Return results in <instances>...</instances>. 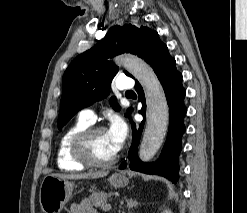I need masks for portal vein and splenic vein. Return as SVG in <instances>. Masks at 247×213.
Segmentation results:
<instances>
[{
	"instance_id": "obj_1",
	"label": "portal vein and splenic vein",
	"mask_w": 247,
	"mask_h": 213,
	"mask_svg": "<svg viewBox=\"0 0 247 213\" xmlns=\"http://www.w3.org/2000/svg\"><path fill=\"white\" fill-rule=\"evenodd\" d=\"M111 209V204H106L103 210H110Z\"/></svg>"
}]
</instances>
